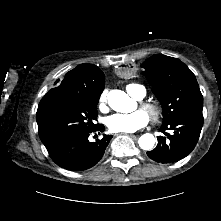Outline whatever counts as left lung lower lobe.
Masks as SVG:
<instances>
[{
	"instance_id": "1",
	"label": "left lung lower lobe",
	"mask_w": 221,
	"mask_h": 221,
	"mask_svg": "<svg viewBox=\"0 0 221 221\" xmlns=\"http://www.w3.org/2000/svg\"><path fill=\"white\" fill-rule=\"evenodd\" d=\"M202 126V109L179 115L170 122L163 123L161 131L165 137L158 136L156 148L147 152V155L154 161L162 163H174L185 158L195 148ZM166 130H172L174 133L168 134ZM170 146L174 148V152L170 156H164L163 149Z\"/></svg>"
}]
</instances>
